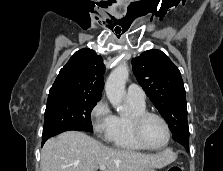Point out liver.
<instances>
[{
  "instance_id": "1",
  "label": "liver",
  "mask_w": 223,
  "mask_h": 171,
  "mask_svg": "<svg viewBox=\"0 0 223 171\" xmlns=\"http://www.w3.org/2000/svg\"><path fill=\"white\" fill-rule=\"evenodd\" d=\"M175 160L171 151L142 154L113 149L78 131H68L50 138L41 151V171H144L162 168Z\"/></svg>"
}]
</instances>
